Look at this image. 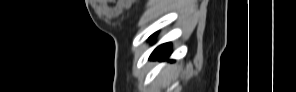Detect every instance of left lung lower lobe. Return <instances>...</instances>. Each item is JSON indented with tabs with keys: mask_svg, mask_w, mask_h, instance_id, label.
<instances>
[{
	"mask_svg": "<svg viewBox=\"0 0 296 92\" xmlns=\"http://www.w3.org/2000/svg\"><path fill=\"white\" fill-rule=\"evenodd\" d=\"M155 36L152 35L149 39H152ZM171 54V44L165 43L157 47L153 53L150 56V59H159V60H165L167 59Z\"/></svg>",
	"mask_w": 296,
	"mask_h": 92,
	"instance_id": "obj_1",
	"label": "left lung lower lobe"
}]
</instances>
